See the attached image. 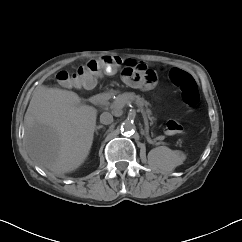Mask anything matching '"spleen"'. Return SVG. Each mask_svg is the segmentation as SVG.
I'll return each mask as SVG.
<instances>
[{
	"instance_id": "obj_1",
	"label": "spleen",
	"mask_w": 242,
	"mask_h": 242,
	"mask_svg": "<svg viewBox=\"0 0 242 242\" xmlns=\"http://www.w3.org/2000/svg\"><path fill=\"white\" fill-rule=\"evenodd\" d=\"M177 155L175 151L161 146L158 148L157 164L164 170H171L177 163Z\"/></svg>"
}]
</instances>
